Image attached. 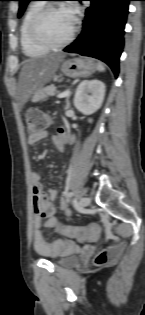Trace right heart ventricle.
Here are the masks:
<instances>
[{"instance_id": "obj_1", "label": "right heart ventricle", "mask_w": 145, "mask_h": 315, "mask_svg": "<svg viewBox=\"0 0 145 315\" xmlns=\"http://www.w3.org/2000/svg\"><path fill=\"white\" fill-rule=\"evenodd\" d=\"M43 7V4H31L26 12L24 13V16L21 21L20 25V43L23 49V52L26 56L29 57H38L41 55H44L48 52L47 49L38 46L35 44L29 35V24L32 19V17L35 15V13Z\"/></svg>"}]
</instances>
